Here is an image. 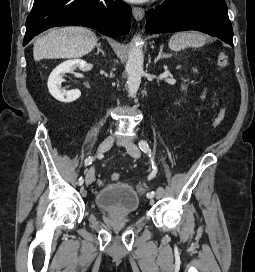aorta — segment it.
I'll use <instances>...</instances> for the list:
<instances>
[{"instance_id":"obj_1","label":"aorta","mask_w":255,"mask_h":272,"mask_svg":"<svg viewBox=\"0 0 255 272\" xmlns=\"http://www.w3.org/2000/svg\"><path fill=\"white\" fill-rule=\"evenodd\" d=\"M142 38L140 35H136L133 38V44L130 48L128 60L125 70L127 72V87L128 93L131 97H134L139 89L141 83V77L143 74V61L144 55L142 51Z\"/></svg>"}]
</instances>
